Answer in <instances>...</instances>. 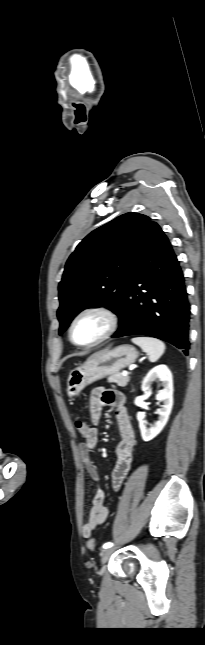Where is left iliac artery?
Instances as JSON below:
<instances>
[{
	"label": "left iliac artery",
	"mask_w": 205,
	"mask_h": 645,
	"mask_svg": "<svg viewBox=\"0 0 205 645\" xmlns=\"http://www.w3.org/2000/svg\"><path fill=\"white\" fill-rule=\"evenodd\" d=\"M112 546H113V543H111V542H107V543H105V544L103 545V548H104V549H108V548H111Z\"/></svg>",
	"instance_id": "44dca946"
}]
</instances>
